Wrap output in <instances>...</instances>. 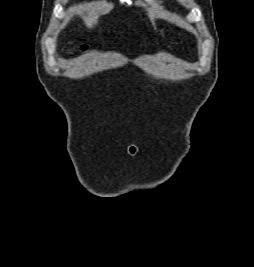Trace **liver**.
<instances>
[{
    "instance_id": "liver-1",
    "label": "liver",
    "mask_w": 254,
    "mask_h": 267,
    "mask_svg": "<svg viewBox=\"0 0 254 267\" xmlns=\"http://www.w3.org/2000/svg\"><path fill=\"white\" fill-rule=\"evenodd\" d=\"M112 4L106 2H90L69 7L67 14L70 17L75 12H87L88 15L83 17L84 24L91 29L98 23V11L100 8L110 9Z\"/></svg>"
}]
</instances>
